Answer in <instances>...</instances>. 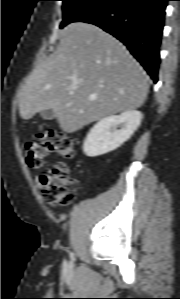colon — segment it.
Segmentation results:
<instances>
[{"label":"colon","mask_w":180,"mask_h":299,"mask_svg":"<svg viewBox=\"0 0 180 299\" xmlns=\"http://www.w3.org/2000/svg\"><path fill=\"white\" fill-rule=\"evenodd\" d=\"M50 153L71 158L74 155L73 139L61 131L46 130L26 145V163L33 168L41 167ZM40 185L42 198L49 205L63 206L73 200L75 180L64 163H57L50 170L43 171Z\"/></svg>","instance_id":"5ec220e1"}]
</instances>
